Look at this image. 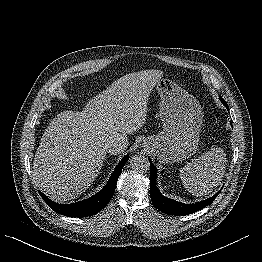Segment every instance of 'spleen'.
<instances>
[{
	"instance_id": "obj_1",
	"label": "spleen",
	"mask_w": 262,
	"mask_h": 262,
	"mask_svg": "<svg viewBox=\"0 0 262 262\" xmlns=\"http://www.w3.org/2000/svg\"><path fill=\"white\" fill-rule=\"evenodd\" d=\"M226 170V155L220 147L212 148L180 169L184 187L203 196L217 187Z\"/></svg>"
}]
</instances>
